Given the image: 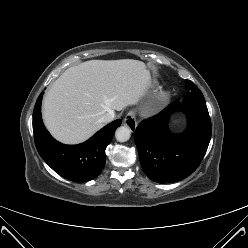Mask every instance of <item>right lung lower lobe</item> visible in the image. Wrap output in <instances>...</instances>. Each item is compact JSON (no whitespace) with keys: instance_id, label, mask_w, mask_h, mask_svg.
<instances>
[{"instance_id":"right-lung-lower-lobe-1","label":"right lung lower lobe","mask_w":248,"mask_h":248,"mask_svg":"<svg viewBox=\"0 0 248 248\" xmlns=\"http://www.w3.org/2000/svg\"><path fill=\"white\" fill-rule=\"evenodd\" d=\"M39 95L33 112V132L36 148L43 160L62 177L86 182L96 178L105 165V149L121 119L108 124L82 144L65 145L56 141L46 130L41 118Z\"/></svg>"}]
</instances>
